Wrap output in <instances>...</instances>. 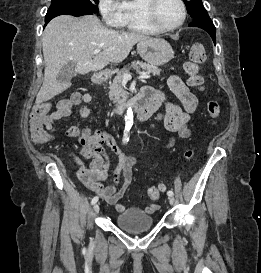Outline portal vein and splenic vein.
I'll use <instances>...</instances> for the list:
<instances>
[{
	"mask_svg": "<svg viewBox=\"0 0 261 273\" xmlns=\"http://www.w3.org/2000/svg\"><path fill=\"white\" fill-rule=\"evenodd\" d=\"M109 50H113V48H110ZM100 51H101V48H97L92 52V54L96 55ZM131 78H132L131 74H124V76H123L124 80H130ZM148 78H150V75L148 72H141L140 76L138 77V79H148Z\"/></svg>",
	"mask_w": 261,
	"mask_h": 273,
	"instance_id": "1",
	"label": "portal vein and splenic vein"
}]
</instances>
